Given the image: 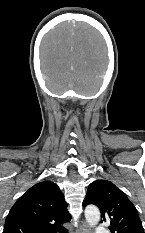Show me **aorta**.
Returning a JSON list of instances; mask_svg holds the SVG:
<instances>
[{"instance_id":"762f6f07","label":"aorta","mask_w":145,"mask_h":233,"mask_svg":"<svg viewBox=\"0 0 145 233\" xmlns=\"http://www.w3.org/2000/svg\"><path fill=\"white\" fill-rule=\"evenodd\" d=\"M85 218L90 226H96L100 221V211L94 205H88L85 208Z\"/></svg>"}]
</instances>
